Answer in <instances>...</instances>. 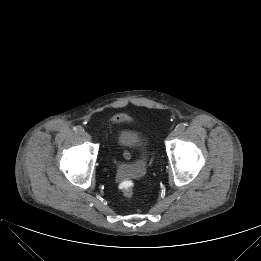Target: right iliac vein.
I'll use <instances>...</instances> for the list:
<instances>
[{
	"mask_svg": "<svg viewBox=\"0 0 261 261\" xmlns=\"http://www.w3.org/2000/svg\"><path fill=\"white\" fill-rule=\"evenodd\" d=\"M82 135H83V138H84L85 140H87V141H91V136H90L89 133L84 132Z\"/></svg>",
	"mask_w": 261,
	"mask_h": 261,
	"instance_id": "1",
	"label": "right iliac vein"
}]
</instances>
